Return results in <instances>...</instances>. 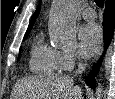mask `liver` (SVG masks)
<instances>
[{"label":"liver","mask_w":115,"mask_h":99,"mask_svg":"<svg viewBox=\"0 0 115 99\" xmlns=\"http://www.w3.org/2000/svg\"><path fill=\"white\" fill-rule=\"evenodd\" d=\"M14 99H83L82 90L74 86L73 78L66 75L28 77L18 80Z\"/></svg>","instance_id":"6515ba94"}]
</instances>
